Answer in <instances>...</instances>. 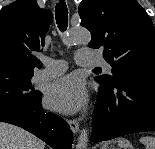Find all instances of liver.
<instances>
[{
	"label": "liver",
	"mask_w": 155,
	"mask_h": 149,
	"mask_svg": "<svg viewBox=\"0 0 155 149\" xmlns=\"http://www.w3.org/2000/svg\"><path fill=\"white\" fill-rule=\"evenodd\" d=\"M43 141L12 124L0 122V149H44Z\"/></svg>",
	"instance_id": "liver-1"
}]
</instances>
